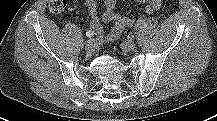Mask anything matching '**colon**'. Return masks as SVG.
Wrapping results in <instances>:
<instances>
[{
    "label": "colon",
    "mask_w": 217,
    "mask_h": 121,
    "mask_svg": "<svg viewBox=\"0 0 217 121\" xmlns=\"http://www.w3.org/2000/svg\"><path fill=\"white\" fill-rule=\"evenodd\" d=\"M68 4V0H51L49 3V10L54 14L62 13Z\"/></svg>",
    "instance_id": "1"
}]
</instances>
